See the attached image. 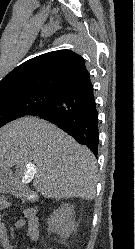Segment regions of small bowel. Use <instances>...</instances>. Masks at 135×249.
Returning <instances> with one entry per match:
<instances>
[{"mask_svg": "<svg viewBox=\"0 0 135 249\" xmlns=\"http://www.w3.org/2000/svg\"><path fill=\"white\" fill-rule=\"evenodd\" d=\"M12 207V203L7 199L6 196L0 195V211L4 209H8ZM19 210L23 214V218L16 221V227L25 228L26 236L36 241L39 236V219H38V211L35 207H22ZM0 245L3 249H13L9 243V238L7 235V229L2 221V217L0 214ZM34 249V248H28Z\"/></svg>", "mask_w": 135, "mask_h": 249, "instance_id": "obj_1", "label": "small bowel"}]
</instances>
